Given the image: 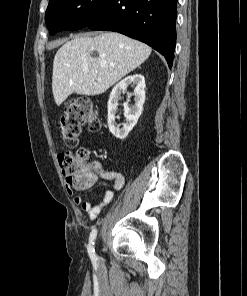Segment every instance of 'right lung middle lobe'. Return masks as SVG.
<instances>
[{
  "label": "right lung middle lobe",
  "mask_w": 247,
  "mask_h": 296,
  "mask_svg": "<svg viewBox=\"0 0 247 296\" xmlns=\"http://www.w3.org/2000/svg\"><path fill=\"white\" fill-rule=\"evenodd\" d=\"M104 0H49L45 22L51 35L80 29L96 16Z\"/></svg>",
  "instance_id": "1"
}]
</instances>
